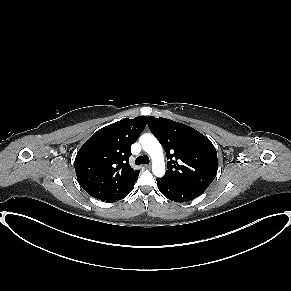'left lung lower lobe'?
<instances>
[{
	"mask_svg": "<svg viewBox=\"0 0 291 291\" xmlns=\"http://www.w3.org/2000/svg\"><path fill=\"white\" fill-rule=\"evenodd\" d=\"M157 186L159 191L166 198L176 202L193 200L204 192L195 188L183 186L164 177L157 179Z\"/></svg>",
	"mask_w": 291,
	"mask_h": 291,
	"instance_id": "0a47b994",
	"label": "left lung lower lobe"
}]
</instances>
